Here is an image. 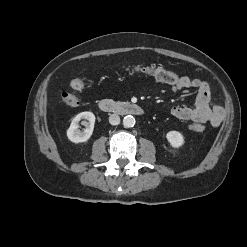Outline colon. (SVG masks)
<instances>
[{
	"label": "colon",
	"mask_w": 247,
	"mask_h": 247,
	"mask_svg": "<svg viewBox=\"0 0 247 247\" xmlns=\"http://www.w3.org/2000/svg\"><path fill=\"white\" fill-rule=\"evenodd\" d=\"M131 71L138 74L149 75L156 80L167 83L170 85H176L179 82V76L171 71H168L161 67H133ZM73 91H65L61 94L62 102L70 107H75L79 104L80 98L76 91L82 90L85 87V83L81 78H74L70 83ZM190 130L200 133L204 131V125L201 123H193L189 126Z\"/></svg>",
	"instance_id": "1"
}]
</instances>
